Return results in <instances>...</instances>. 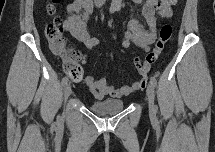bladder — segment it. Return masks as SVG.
<instances>
[{"instance_id":"1","label":"bladder","mask_w":215,"mask_h":152,"mask_svg":"<svg viewBox=\"0 0 215 152\" xmlns=\"http://www.w3.org/2000/svg\"><path fill=\"white\" fill-rule=\"evenodd\" d=\"M125 107V102L116 99H102L91 104V110L99 115H112L121 112Z\"/></svg>"}]
</instances>
